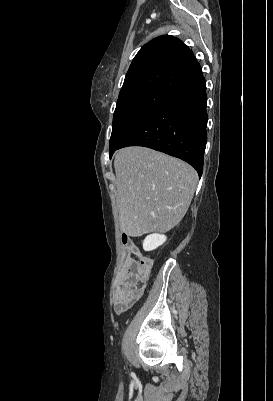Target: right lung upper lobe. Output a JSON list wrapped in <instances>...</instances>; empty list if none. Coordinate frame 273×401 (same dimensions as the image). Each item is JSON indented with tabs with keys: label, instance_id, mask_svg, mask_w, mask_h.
Returning <instances> with one entry per match:
<instances>
[{
	"label": "right lung upper lobe",
	"instance_id": "cb5924a9",
	"mask_svg": "<svg viewBox=\"0 0 273 401\" xmlns=\"http://www.w3.org/2000/svg\"><path fill=\"white\" fill-rule=\"evenodd\" d=\"M200 75L199 63L181 40L160 36L145 44L134 57L119 98L142 92L168 95Z\"/></svg>",
	"mask_w": 273,
	"mask_h": 401
}]
</instances>
